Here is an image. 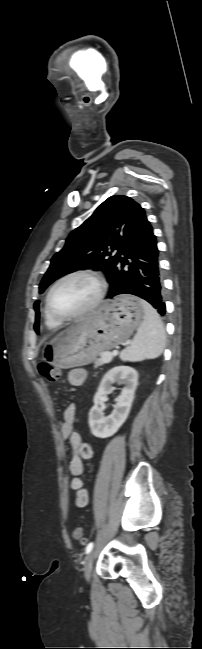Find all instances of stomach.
Here are the masks:
<instances>
[{
    "instance_id": "1",
    "label": "stomach",
    "mask_w": 202,
    "mask_h": 649,
    "mask_svg": "<svg viewBox=\"0 0 202 649\" xmlns=\"http://www.w3.org/2000/svg\"><path fill=\"white\" fill-rule=\"evenodd\" d=\"M144 317L142 300L120 295L82 317L44 345L42 359L59 368L81 366L96 360L102 351L124 342Z\"/></svg>"
}]
</instances>
